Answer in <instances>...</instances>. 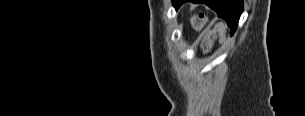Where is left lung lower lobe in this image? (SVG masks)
Returning <instances> with one entry per match:
<instances>
[{
	"mask_svg": "<svg viewBox=\"0 0 305 116\" xmlns=\"http://www.w3.org/2000/svg\"><path fill=\"white\" fill-rule=\"evenodd\" d=\"M188 0H173L175 6L179 7ZM194 3L203 2L214 9L219 17L226 20L231 28V35L235 32L240 15L243 10L242 0H192Z\"/></svg>",
	"mask_w": 305,
	"mask_h": 116,
	"instance_id": "1",
	"label": "left lung lower lobe"
}]
</instances>
